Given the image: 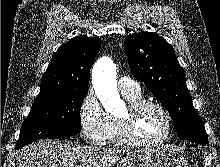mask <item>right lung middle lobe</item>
Returning <instances> with one entry per match:
<instances>
[{"instance_id": "right-lung-middle-lobe-1", "label": "right lung middle lobe", "mask_w": 220, "mask_h": 167, "mask_svg": "<svg viewBox=\"0 0 220 167\" xmlns=\"http://www.w3.org/2000/svg\"><path fill=\"white\" fill-rule=\"evenodd\" d=\"M88 89H67L37 99L22 124L16 149L42 138H62L81 131L80 110Z\"/></svg>"}]
</instances>
